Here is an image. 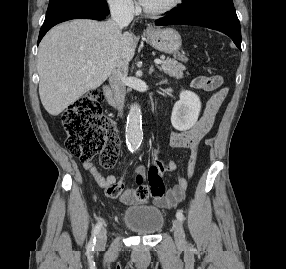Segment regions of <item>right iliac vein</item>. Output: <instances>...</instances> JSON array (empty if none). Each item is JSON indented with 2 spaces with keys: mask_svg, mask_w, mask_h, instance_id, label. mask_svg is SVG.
Returning <instances> with one entry per match:
<instances>
[{
  "mask_svg": "<svg viewBox=\"0 0 286 269\" xmlns=\"http://www.w3.org/2000/svg\"><path fill=\"white\" fill-rule=\"evenodd\" d=\"M107 241V232L106 229H102L98 236H97V241H96V249H103L106 245Z\"/></svg>",
  "mask_w": 286,
  "mask_h": 269,
  "instance_id": "63e3f726",
  "label": "right iliac vein"
}]
</instances>
